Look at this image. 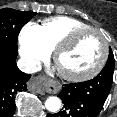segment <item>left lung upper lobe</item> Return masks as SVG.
<instances>
[{
    "instance_id": "5c2ea615",
    "label": "left lung upper lobe",
    "mask_w": 117,
    "mask_h": 117,
    "mask_svg": "<svg viewBox=\"0 0 117 117\" xmlns=\"http://www.w3.org/2000/svg\"><path fill=\"white\" fill-rule=\"evenodd\" d=\"M114 65H115V60H114L112 50L110 48L108 61H107V64L105 65L104 69L108 70V72L111 74L112 79H113Z\"/></svg>"
}]
</instances>
